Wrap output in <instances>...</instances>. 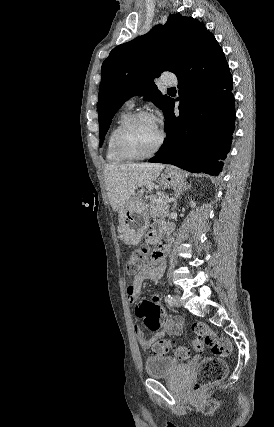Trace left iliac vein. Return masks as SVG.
<instances>
[{
  "label": "left iliac vein",
  "instance_id": "1",
  "mask_svg": "<svg viewBox=\"0 0 274 427\" xmlns=\"http://www.w3.org/2000/svg\"><path fill=\"white\" fill-rule=\"evenodd\" d=\"M173 302H174V305H175L176 307H180V306L182 305L181 300H180V296H179V295H177V294H175V295L173 296Z\"/></svg>",
  "mask_w": 274,
  "mask_h": 427
}]
</instances>
